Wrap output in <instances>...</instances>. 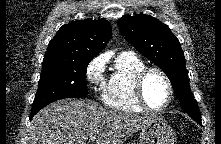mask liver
I'll use <instances>...</instances> for the list:
<instances>
[{"instance_id":"liver-1","label":"liver","mask_w":221,"mask_h":144,"mask_svg":"<svg viewBox=\"0 0 221 144\" xmlns=\"http://www.w3.org/2000/svg\"><path fill=\"white\" fill-rule=\"evenodd\" d=\"M154 119L108 110L88 99H64L33 117L29 139L30 144H86L88 138L97 137V144H124Z\"/></svg>"}]
</instances>
